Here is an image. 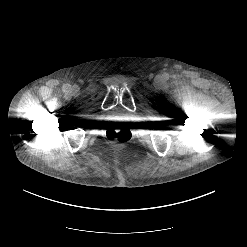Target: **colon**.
I'll return each mask as SVG.
<instances>
[{
	"label": "colon",
	"instance_id": "obj_1",
	"mask_svg": "<svg viewBox=\"0 0 247 247\" xmlns=\"http://www.w3.org/2000/svg\"><path fill=\"white\" fill-rule=\"evenodd\" d=\"M108 138L115 142H124L130 138L128 129L112 130L108 134Z\"/></svg>",
	"mask_w": 247,
	"mask_h": 247
}]
</instances>
